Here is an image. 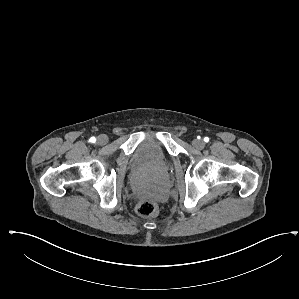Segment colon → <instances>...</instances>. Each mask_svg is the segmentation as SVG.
I'll return each instance as SVG.
<instances>
[{
	"instance_id": "1",
	"label": "colon",
	"mask_w": 299,
	"mask_h": 299,
	"mask_svg": "<svg viewBox=\"0 0 299 299\" xmlns=\"http://www.w3.org/2000/svg\"><path fill=\"white\" fill-rule=\"evenodd\" d=\"M136 211L142 217H155L158 214V206L153 201L143 200L137 204Z\"/></svg>"
}]
</instances>
